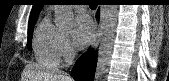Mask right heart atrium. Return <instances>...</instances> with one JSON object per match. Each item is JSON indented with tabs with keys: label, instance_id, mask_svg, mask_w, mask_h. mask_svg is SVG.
Masks as SVG:
<instances>
[{
	"label": "right heart atrium",
	"instance_id": "right-heart-atrium-1",
	"mask_svg": "<svg viewBox=\"0 0 169 81\" xmlns=\"http://www.w3.org/2000/svg\"><path fill=\"white\" fill-rule=\"evenodd\" d=\"M59 54L60 57L63 59H68L72 55V47L71 43L66 36H61L60 43H59Z\"/></svg>",
	"mask_w": 169,
	"mask_h": 81
}]
</instances>
